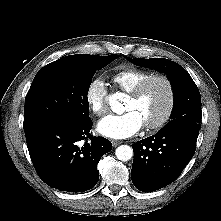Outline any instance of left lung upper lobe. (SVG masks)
Instances as JSON below:
<instances>
[{
  "instance_id": "1",
  "label": "left lung upper lobe",
  "mask_w": 221,
  "mask_h": 221,
  "mask_svg": "<svg viewBox=\"0 0 221 221\" xmlns=\"http://www.w3.org/2000/svg\"><path fill=\"white\" fill-rule=\"evenodd\" d=\"M132 62L165 72L171 81L174 92L171 121L161 130L175 127L200 129L202 118L200 93L195 82L184 68L174 61L163 58H134Z\"/></svg>"
}]
</instances>
